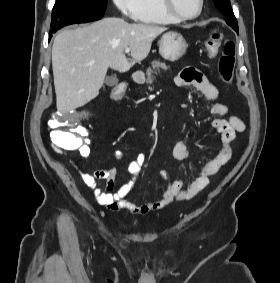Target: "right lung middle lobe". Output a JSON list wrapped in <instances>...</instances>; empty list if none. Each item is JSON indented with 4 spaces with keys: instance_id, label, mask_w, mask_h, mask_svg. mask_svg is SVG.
Listing matches in <instances>:
<instances>
[{
    "instance_id": "obj_1",
    "label": "right lung middle lobe",
    "mask_w": 280,
    "mask_h": 283,
    "mask_svg": "<svg viewBox=\"0 0 280 283\" xmlns=\"http://www.w3.org/2000/svg\"><path fill=\"white\" fill-rule=\"evenodd\" d=\"M107 0H57L52 11L50 32L76 23L96 21L104 16Z\"/></svg>"
}]
</instances>
